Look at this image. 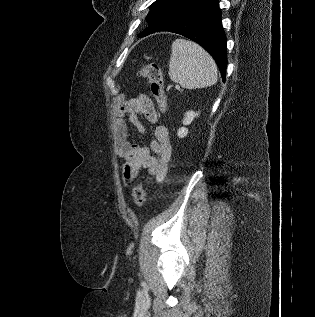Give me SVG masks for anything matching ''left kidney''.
Segmentation results:
<instances>
[{
    "instance_id": "1",
    "label": "left kidney",
    "mask_w": 315,
    "mask_h": 317,
    "mask_svg": "<svg viewBox=\"0 0 315 317\" xmlns=\"http://www.w3.org/2000/svg\"><path fill=\"white\" fill-rule=\"evenodd\" d=\"M199 113L194 111H187L183 119V125H189L195 117H198ZM188 134V129L181 127L178 129L177 135L179 138H184Z\"/></svg>"
}]
</instances>
